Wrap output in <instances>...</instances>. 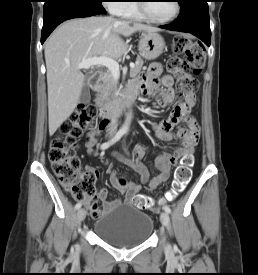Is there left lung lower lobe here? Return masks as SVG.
<instances>
[{
	"label": "left lung lower lobe",
	"instance_id": "obj_1",
	"mask_svg": "<svg viewBox=\"0 0 258 275\" xmlns=\"http://www.w3.org/2000/svg\"><path fill=\"white\" fill-rule=\"evenodd\" d=\"M207 1L185 0L180 4L181 13L178 20L175 23L161 26V28L191 33L210 46L211 31ZM201 46L203 47L202 44Z\"/></svg>",
	"mask_w": 258,
	"mask_h": 275
}]
</instances>
